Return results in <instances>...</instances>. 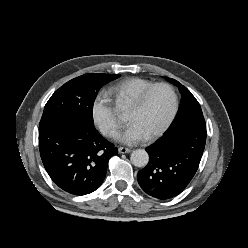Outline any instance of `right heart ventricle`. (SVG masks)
I'll use <instances>...</instances> for the list:
<instances>
[{
	"label": "right heart ventricle",
	"mask_w": 248,
	"mask_h": 248,
	"mask_svg": "<svg viewBox=\"0 0 248 248\" xmlns=\"http://www.w3.org/2000/svg\"><path fill=\"white\" fill-rule=\"evenodd\" d=\"M152 84L154 83L150 80L140 77H131L112 85L108 93L118 102L131 105L140 93Z\"/></svg>",
	"instance_id": "e07e8e85"
}]
</instances>
